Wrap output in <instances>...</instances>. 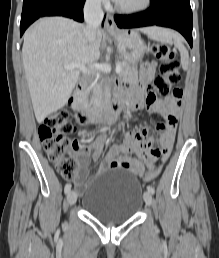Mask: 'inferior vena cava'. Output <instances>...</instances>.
Wrapping results in <instances>:
<instances>
[{"label": "inferior vena cava", "mask_w": 219, "mask_h": 258, "mask_svg": "<svg viewBox=\"0 0 219 258\" xmlns=\"http://www.w3.org/2000/svg\"><path fill=\"white\" fill-rule=\"evenodd\" d=\"M84 19L86 22L84 36L88 43L92 44L95 41L96 33L103 20L101 0H86L84 6Z\"/></svg>", "instance_id": "602c4592"}]
</instances>
